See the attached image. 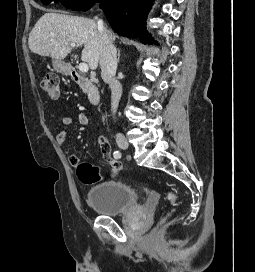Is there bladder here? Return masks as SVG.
<instances>
[{"label":"bladder","mask_w":255,"mask_h":272,"mask_svg":"<svg viewBox=\"0 0 255 272\" xmlns=\"http://www.w3.org/2000/svg\"><path fill=\"white\" fill-rule=\"evenodd\" d=\"M86 199L99 215L119 216L138 204V193L122 182L107 181L91 188Z\"/></svg>","instance_id":"1"}]
</instances>
